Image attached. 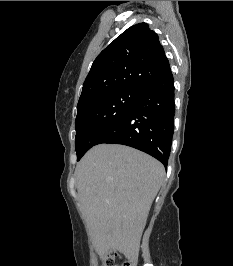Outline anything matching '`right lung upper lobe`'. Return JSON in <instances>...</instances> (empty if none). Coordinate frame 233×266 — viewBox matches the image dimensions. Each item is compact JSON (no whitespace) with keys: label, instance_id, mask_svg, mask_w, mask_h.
I'll return each mask as SVG.
<instances>
[{"label":"right lung upper lobe","instance_id":"right-lung-upper-lobe-1","mask_svg":"<svg viewBox=\"0 0 233 266\" xmlns=\"http://www.w3.org/2000/svg\"><path fill=\"white\" fill-rule=\"evenodd\" d=\"M169 70L158 35L146 23L133 25L97 56L78 103L110 91L143 90Z\"/></svg>","mask_w":233,"mask_h":266}]
</instances>
